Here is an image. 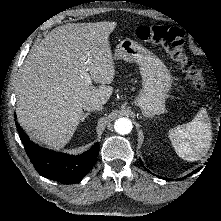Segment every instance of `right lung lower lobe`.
<instances>
[{
	"label": "right lung lower lobe",
	"mask_w": 221,
	"mask_h": 221,
	"mask_svg": "<svg viewBox=\"0 0 221 221\" xmlns=\"http://www.w3.org/2000/svg\"><path fill=\"white\" fill-rule=\"evenodd\" d=\"M17 129L30 161L37 172L45 178L64 184L77 183L90 171L97 160L99 143H95L81 155L71 156L41 148L30 141L18 124Z\"/></svg>",
	"instance_id": "right-lung-lower-lobe-1"
}]
</instances>
